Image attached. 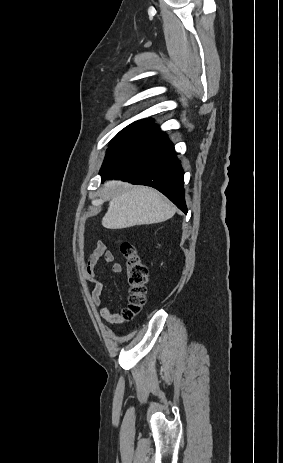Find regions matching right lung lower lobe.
<instances>
[{
    "label": "right lung lower lobe",
    "mask_w": 283,
    "mask_h": 463,
    "mask_svg": "<svg viewBox=\"0 0 283 463\" xmlns=\"http://www.w3.org/2000/svg\"><path fill=\"white\" fill-rule=\"evenodd\" d=\"M100 175L102 182L122 179L154 187L187 213L183 169L173 144L155 125L140 129L111 145Z\"/></svg>",
    "instance_id": "right-lung-lower-lobe-1"
}]
</instances>
